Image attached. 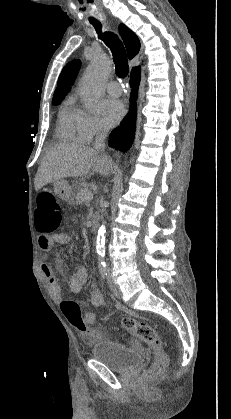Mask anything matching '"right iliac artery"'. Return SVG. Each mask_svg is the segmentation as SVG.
<instances>
[{"mask_svg":"<svg viewBox=\"0 0 231 419\" xmlns=\"http://www.w3.org/2000/svg\"><path fill=\"white\" fill-rule=\"evenodd\" d=\"M99 271H100V274H101L102 278L105 279L107 277L106 265H104V264L99 265Z\"/></svg>","mask_w":231,"mask_h":419,"instance_id":"82829eb1","label":"right iliac artery"}]
</instances>
